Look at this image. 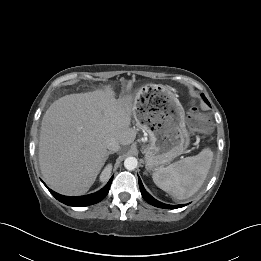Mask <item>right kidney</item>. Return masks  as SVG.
<instances>
[{"label": "right kidney", "instance_id": "ca27d5eb", "mask_svg": "<svg viewBox=\"0 0 261 261\" xmlns=\"http://www.w3.org/2000/svg\"><path fill=\"white\" fill-rule=\"evenodd\" d=\"M112 170V165L108 164L105 169L102 171L101 176H100V181H105L109 178L110 173Z\"/></svg>", "mask_w": 261, "mask_h": 261}]
</instances>
